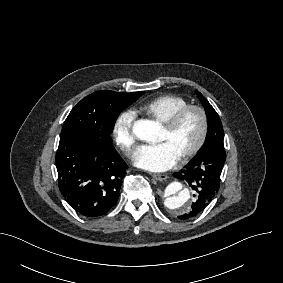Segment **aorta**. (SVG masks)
<instances>
[{
    "label": "aorta",
    "mask_w": 283,
    "mask_h": 283,
    "mask_svg": "<svg viewBox=\"0 0 283 283\" xmlns=\"http://www.w3.org/2000/svg\"><path fill=\"white\" fill-rule=\"evenodd\" d=\"M133 132L140 140L156 141L161 127L154 121L139 120L133 126ZM164 206L177 214L186 213L192 205L191 190L180 181L171 182L163 191Z\"/></svg>",
    "instance_id": "obj_1"
}]
</instances>
